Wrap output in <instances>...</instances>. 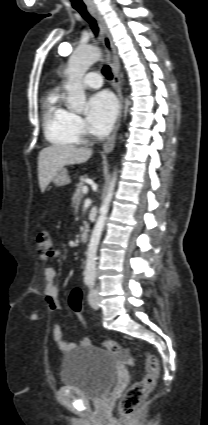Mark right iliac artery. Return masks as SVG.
I'll return each mask as SVG.
<instances>
[{
  "label": "right iliac artery",
  "instance_id": "obj_1",
  "mask_svg": "<svg viewBox=\"0 0 208 425\" xmlns=\"http://www.w3.org/2000/svg\"><path fill=\"white\" fill-rule=\"evenodd\" d=\"M90 281H91V280H86L85 282H86V284H89V283H90Z\"/></svg>",
  "mask_w": 208,
  "mask_h": 425
}]
</instances>
